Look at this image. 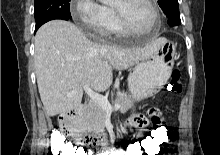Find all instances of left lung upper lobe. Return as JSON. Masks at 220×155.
Returning a JSON list of instances; mask_svg holds the SVG:
<instances>
[{"mask_svg":"<svg viewBox=\"0 0 220 155\" xmlns=\"http://www.w3.org/2000/svg\"><path fill=\"white\" fill-rule=\"evenodd\" d=\"M158 4L164 11L167 19L179 15V5L177 0H158Z\"/></svg>","mask_w":220,"mask_h":155,"instance_id":"left-lung-upper-lobe-1","label":"left lung upper lobe"}]
</instances>
